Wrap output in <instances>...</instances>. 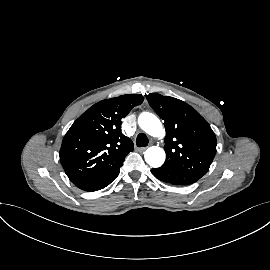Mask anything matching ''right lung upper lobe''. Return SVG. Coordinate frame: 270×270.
Segmentation results:
<instances>
[{"mask_svg":"<svg viewBox=\"0 0 270 270\" xmlns=\"http://www.w3.org/2000/svg\"><path fill=\"white\" fill-rule=\"evenodd\" d=\"M143 100L142 95L129 94L102 100L73 123L59 156L74 184L120 169L134 148L132 140L121 132V119Z\"/></svg>","mask_w":270,"mask_h":270,"instance_id":"right-lung-upper-lobe-1","label":"right lung upper lobe"}]
</instances>
